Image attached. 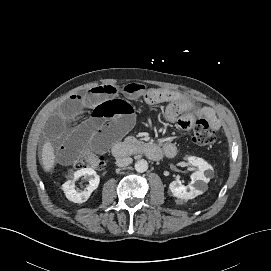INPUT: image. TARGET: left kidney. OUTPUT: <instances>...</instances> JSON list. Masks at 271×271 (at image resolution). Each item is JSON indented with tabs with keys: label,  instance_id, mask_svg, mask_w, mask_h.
I'll return each mask as SVG.
<instances>
[{
	"label": "left kidney",
	"instance_id": "5707ae66",
	"mask_svg": "<svg viewBox=\"0 0 271 271\" xmlns=\"http://www.w3.org/2000/svg\"><path fill=\"white\" fill-rule=\"evenodd\" d=\"M188 162L198 167V171L194 172L191 175L192 182L187 187L184 186L181 181H173L169 185V189L171 190L173 196L180 198V199H192L195 195L200 192L199 187L203 184H207L210 180V174L212 171L211 165H209L206 161L202 158L191 156L188 158ZM205 172H208V177L205 175Z\"/></svg>",
	"mask_w": 271,
	"mask_h": 271
}]
</instances>
